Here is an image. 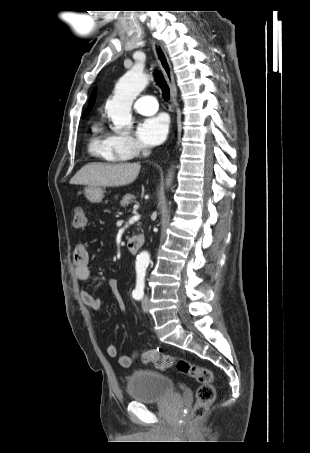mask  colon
<instances>
[{
    "label": "colon",
    "mask_w": 310,
    "mask_h": 453,
    "mask_svg": "<svg viewBox=\"0 0 310 453\" xmlns=\"http://www.w3.org/2000/svg\"><path fill=\"white\" fill-rule=\"evenodd\" d=\"M73 225L76 228H83L86 225V213L82 208H76L74 210ZM141 360L143 363H150L160 370H167L174 367L181 374L196 380L199 383V387L196 392V401L189 421L191 423L197 422L206 415L216 395L214 376L210 369L157 350H142Z\"/></svg>",
    "instance_id": "5ec220e1"
}]
</instances>
